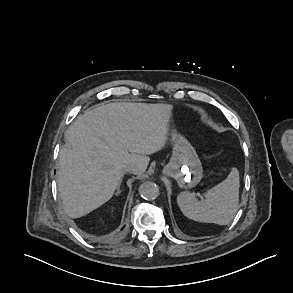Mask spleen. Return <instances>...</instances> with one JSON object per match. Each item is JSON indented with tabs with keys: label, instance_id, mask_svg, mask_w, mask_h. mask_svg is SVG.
<instances>
[{
	"label": "spleen",
	"instance_id": "3e777b00",
	"mask_svg": "<svg viewBox=\"0 0 293 293\" xmlns=\"http://www.w3.org/2000/svg\"><path fill=\"white\" fill-rule=\"evenodd\" d=\"M239 171L232 168L228 177L207 191L205 200H197L194 193L181 192L177 203L189 219L228 225L234 218L239 204Z\"/></svg>",
	"mask_w": 293,
	"mask_h": 293
}]
</instances>
